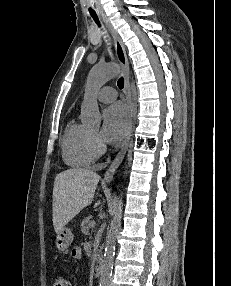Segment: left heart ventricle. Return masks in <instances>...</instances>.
Listing matches in <instances>:
<instances>
[{
	"label": "left heart ventricle",
	"mask_w": 231,
	"mask_h": 286,
	"mask_svg": "<svg viewBox=\"0 0 231 286\" xmlns=\"http://www.w3.org/2000/svg\"><path fill=\"white\" fill-rule=\"evenodd\" d=\"M92 134H94V135H97V130L96 129H93V130H91L90 131Z\"/></svg>",
	"instance_id": "obj_1"
}]
</instances>
